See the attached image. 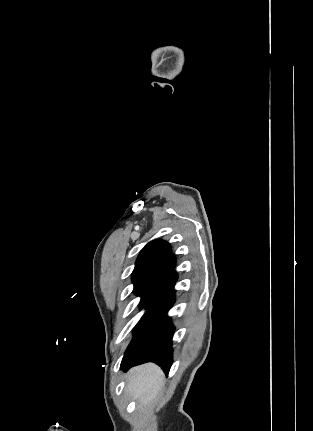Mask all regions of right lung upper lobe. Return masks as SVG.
<instances>
[{"mask_svg": "<svg viewBox=\"0 0 313 431\" xmlns=\"http://www.w3.org/2000/svg\"><path fill=\"white\" fill-rule=\"evenodd\" d=\"M175 260L166 241L148 243L140 252L132 273L135 293L142 298H150L175 275Z\"/></svg>", "mask_w": 313, "mask_h": 431, "instance_id": "cb5924a9", "label": "right lung upper lobe"}]
</instances>
